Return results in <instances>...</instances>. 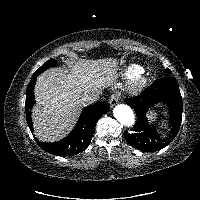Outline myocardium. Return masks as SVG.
I'll use <instances>...</instances> for the list:
<instances>
[{
  "instance_id": "1",
  "label": "myocardium",
  "mask_w": 200,
  "mask_h": 200,
  "mask_svg": "<svg viewBox=\"0 0 200 200\" xmlns=\"http://www.w3.org/2000/svg\"><path fill=\"white\" fill-rule=\"evenodd\" d=\"M147 83H148V79L142 72V73L132 77L129 80V83L127 86V91L130 94L137 95L143 91V89L146 87Z\"/></svg>"
}]
</instances>
